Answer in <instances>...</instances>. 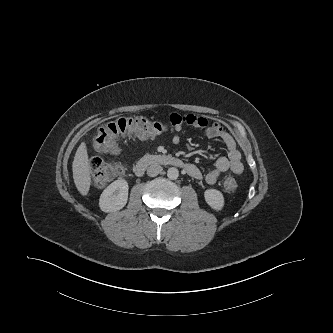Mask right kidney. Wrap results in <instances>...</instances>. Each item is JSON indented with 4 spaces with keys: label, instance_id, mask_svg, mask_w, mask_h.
<instances>
[{
    "label": "right kidney",
    "instance_id": "ca27d5eb",
    "mask_svg": "<svg viewBox=\"0 0 333 333\" xmlns=\"http://www.w3.org/2000/svg\"><path fill=\"white\" fill-rule=\"evenodd\" d=\"M128 190V183L124 179H119L111 183L100 196V209L104 212L122 209L128 200Z\"/></svg>",
    "mask_w": 333,
    "mask_h": 333
}]
</instances>
